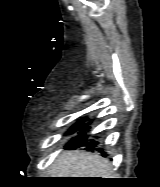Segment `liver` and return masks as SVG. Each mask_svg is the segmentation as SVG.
Returning <instances> with one entry per match:
<instances>
[{
    "label": "liver",
    "instance_id": "1",
    "mask_svg": "<svg viewBox=\"0 0 160 187\" xmlns=\"http://www.w3.org/2000/svg\"><path fill=\"white\" fill-rule=\"evenodd\" d=\"M51 178H113L111 163L93 153L66 151L50 167Z\"/></svg>",
    "mask_w": 160,
    "mask_h": 187
}]
</instances>
